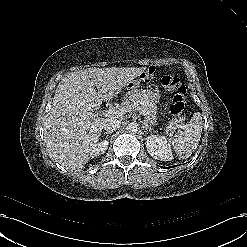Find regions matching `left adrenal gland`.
I'll use <instances>...</instances> for the list:
<instances>
[{"instance_id":"left-adrenal-gland-1","label":"left adrenal gland","mask_w":247,"mask_h":247,"mask_svg":"<svg viewBox=\"0 0 247 247\" xmlns=\"http://www.w3.org/2000/svg\"><path fill=\"white\" fill-rule=\"evenodd\" d=\"M142 127L145 129V132L153 130V128L150 125H148L146 122H142Z\"/></svg>"}]
</instances>
